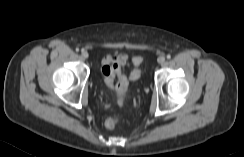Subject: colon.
Returning a JSON list of instances; mask_svg holds the SVG:
<instances>
[{
    "mask_svg": "<svg viewBox=\"0 0 244 157\" xmlns=\"http://www.w3.org/2000/svg\"><path fill=\"white\" fill-rule=\"evenodd\" d=\"M143 60H144L143 56H135L133 58L132 62H133L134 68L130 73V79L132 81H136L139 79V77L141 75L139 66L142 64ZM102 73L104 76L105 84L109 88L114 87L115 79H117L115 87H116V90H117L119 96L122 98L125 95L127 88H128V78L123 73L122 68L118 64H115V63L108 64L102 68ZM118 124H119V118L115 117V116L109 117L105 121V126L108 129H114Z\"/></svg>",
    "mask_w": 244,
    "mask_h": 157,
    "instance_id": "5ec220e1",
    "label": "colon"
}]
</instances>
